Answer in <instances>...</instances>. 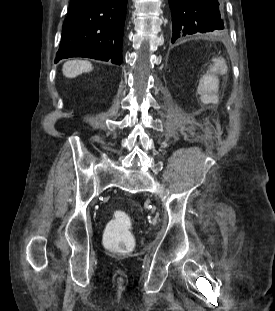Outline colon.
I'll return each instance as SVG.
<instances>
[{
    "mask_svg": "<svg viewBox=\"0 0 275 311\" xmlns=\"http://www.w3.org/2000/svg\"><path fill=\"white\" fill-rule=\"evenodd\" d=\"M130 227L131 219L129 215L124 211L116 210L112 220L106 227L105 245L119 252H130L135 246Z\"/></svg>",
    "mask_w": 275,
    "mask_h": 311,
    "instance_id": "colon-1",
    "label": "colon"
}]
</instances>
